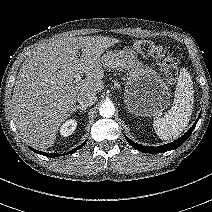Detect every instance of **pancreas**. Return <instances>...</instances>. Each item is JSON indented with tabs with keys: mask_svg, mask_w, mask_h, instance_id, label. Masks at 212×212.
<instances>
[{
	"mask_svg": "<svg viewBox=\"0 0 212 212\" xmlns=\"http://www.w3.org/2000/svg\"><path fill=\"white\" fill-rule=\"evenodd\" d=\"M115 85H117V86H118V83H117V82H115Z\"/></svg>",
	"mask_w": 212,
	"mask_h": 212,
	"instance_id": "cf45deb5",
	"label": "pancreas"
}]
</instances>
